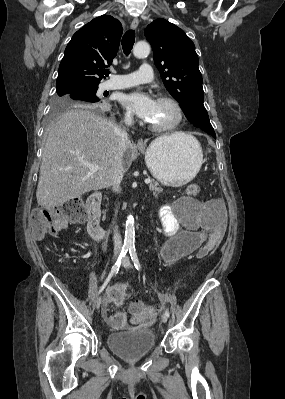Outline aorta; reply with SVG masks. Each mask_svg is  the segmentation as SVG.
Instances as JSON below:
<instances>
[{
    "instance_id": "762f6f07",
    "label": "aorta",
    "mask_w": 285,
    "mask_h": 399,
    "mask_svg": "<svg viewBox=\"0 0 285 399\" xmlns=\"http://www.w3.org/2000/svg\"><path fill=\"white\" fill-rule=\"evenodd\" d=\"M150 45L147 42L140 41L135 44L133 48V54L137 58L147 57L150 53ZM135 241V225L134 218L132 215H128L125 223V239L124 247L132 248L134 247Z\"/></svg>"
}]
</instances>
